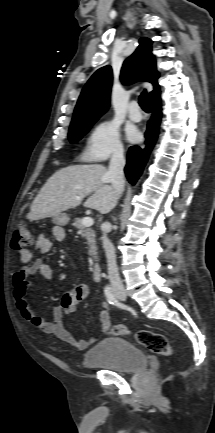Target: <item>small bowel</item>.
Segmentation results:
<instances>
[{"mask_svg":"<svg viewBox=\"0 0 215 433\" xmlns=\"http://www.w3.org/2000/svg\"><path fill=\"white\" fill-rule=\"evenodd\" d=\"M52 237L53 239L41 234L37 237L34 251L30 249L20 251V262L26 266L16 270L13 275V295L16 305L22 317L35 328L43 333L54 335L60 341L75 346L79 350H86L96 340V337L77 340L64 326V317L74 313L79 304L87 297L88 286L85 283L76 284L64 293L61 304L53 309L52 321L39 316L30 306L27 299V288L31 284L30 277L32 275L39 274L46 281L53 279L52 268L45 261L35 258V252L48 253L53 246V240L62 241L64 239L63 230L60 228L55 229L52 232ZM109 309L108 303L102 302L100 304L98 317L101 325V335L105 334L111 325Z\"/></svg>","mask_w":215,"mask_h":433,"instance_id":"c3829d8e","label":"small bowel"}]
</instances>
